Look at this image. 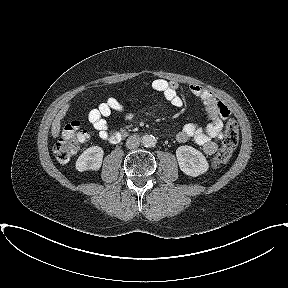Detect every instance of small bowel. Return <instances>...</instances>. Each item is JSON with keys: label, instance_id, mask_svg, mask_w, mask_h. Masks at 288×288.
<instances>
[{"label": "small bowel", "instance_id": "obj_1", "mask_svg": "<svg viewBox=\"0 0 288 288\" xmlns=\"http://www.w3.org/2000/svg\"><path fill=\"white\" fill-rule=\"evenodd\" d=\"M152 88L161 93L172 106L181 107L183 105L184 101L179 94L177 82L158 78L152 82ZM189 90L202 101L210 122L205 127L193 123L186 124L178 132L176 139L180 143H186L192 139L206 155H211L217 149L215 140L222 136L224 120L229 114V110L206 88L192 84L189 86ZM123 110L122 103L115 97H110L89 113L88 119L102 140L115 144L124 136L123 131L110 128L106 121L112 112H123ZM129 116L127 115V117Z\"/></svg>", "mask_w": 288, "mask_h": 288}]
</instances>
